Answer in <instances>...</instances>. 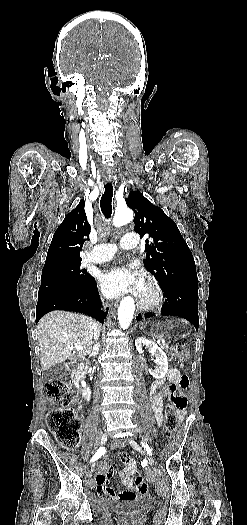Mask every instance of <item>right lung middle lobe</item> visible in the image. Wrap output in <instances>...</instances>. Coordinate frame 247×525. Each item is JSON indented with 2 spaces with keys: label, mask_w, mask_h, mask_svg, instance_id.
Here are the masks:
<instances>
[{
  "label": "right lung middle lobe",
  "mask_w": 247,
  "mask_h": 525,
  "mask_svg": "<svg viewBox=\"0 0 247 525\" xmlns=\"http://www.w3.org/2000/svg\"><path fill=\"white\" fill-rule=\"evenodd\" d=\"M85 272L84 269H80V263L42 271L38 297L51 292L83 288L92 279V277L89 274H85Z\"/></svg>",
  "instance_id": "1"
}]
</instances>
